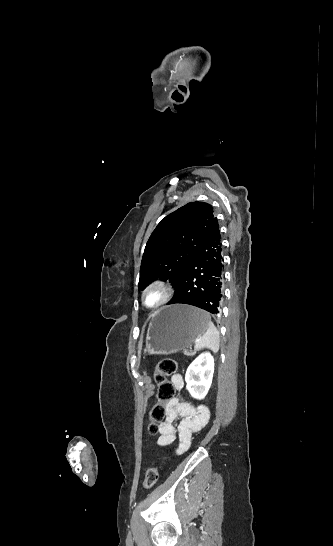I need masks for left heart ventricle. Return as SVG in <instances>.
Wrapping results in <instances>:
<instances>
[{"instance_id": "1", "label": "left heart ventricle", "mask_w": 333, "mask_h": 546, "mask_svg": "<svg viewBox=\"0 0 333 546\" xmlns=\"http://www.w3.org/2000/svg\"><path fill=\"white\" fill-rule=\"evenodd\" d=\"M163 297V292L158 288H153L147 293V303L156 305Z\"/></svg>"}]
</instances>
